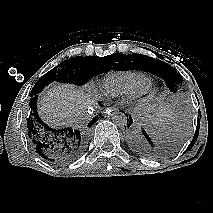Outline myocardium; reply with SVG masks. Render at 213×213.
I'll use <instances>...</instances> for the list:
<instances>
[{
	"label": "myocardium",
	"mask_w": 213,
	"mask_h": 213,
	"mask_svg": "<svg viewBox=\"0 0 213 213\" xmlns=\"http://www.w3.org/2000/svg\"><path fill=\"white\" fill-rule=\"evenodd\" d=\"M156 93V88L152 83L147 84L141 89L142 101L148 102L153 99Z\"/></svg>",
	"instance_id": "myocardium-1"
}]
</instances>
